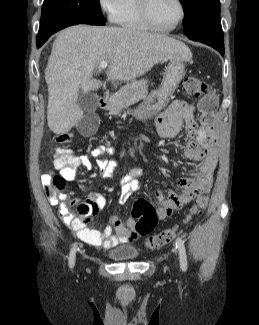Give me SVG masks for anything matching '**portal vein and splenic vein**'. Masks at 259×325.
Wrapping results in <instances>:
<instances>
[{"label":"portal vein and splenic vein","mask_w":259,"mask_h":325,"mask_svg":"<svg viewBox=\"0 0 259 325\" xmlns=\"http://www.w3.org/2000/svg\"><path fill=\"white\" fill-rule=\"evenodd\" d=\"M108 63H109L108 61H101L99 63V68L100 69H105L107 67Z\"/></svg>","instance_id":"portal-vein-and-splenic-vein-1"}]
</instances>
